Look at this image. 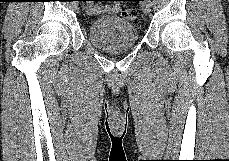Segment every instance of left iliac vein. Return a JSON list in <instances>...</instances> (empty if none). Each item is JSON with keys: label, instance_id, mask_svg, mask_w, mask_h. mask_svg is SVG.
Returning <instances> with one entry per match:
<instances>
[{"label": "left iliac vein", "instance_id": "1", "mask_svg": "<svg viewBox=\"0 0 229 161\" xmlns=\"http://www.w3.org/2000/svg\"><path fill=\"white\" fill-rule=\"evenodd\" d=\"M141 8L145 14H148L151 9V0L142 1Z\"/></svg>", "mask_w": 229, "mask_h": 161}]
</instances>
